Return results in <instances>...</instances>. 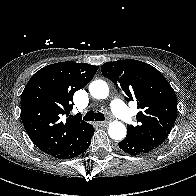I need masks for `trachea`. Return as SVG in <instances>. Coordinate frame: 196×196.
Wrapping results in <instances>:
<instances>
[{"instance_id":"obj_1","label":"trachea","mask_w":196,"mask_h":196,"mask_svg":"<svg viewBox=\"0 0 196 196\" xmlns=\"http://www.w3.org/2000/svg\"><path fill=\"white\" fill-rule=\"evenodd\" d=\"M85 121H104L105 116L101 112H94L90 110L83 118Z\"/></svg>"}]
</instances>
